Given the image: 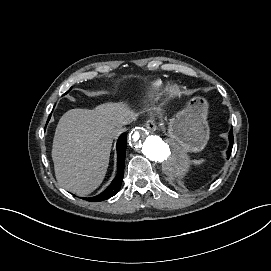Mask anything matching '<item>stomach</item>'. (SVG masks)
<instances>
[{
    "instance_id": "stomach-1",
    "label": "stomach",
    "mask_w": 271,
    "mask_h": 271,
    "mask_svg": "<svg viewBox=\"0 0 271 271\" xmlns=\"http://www.w3.org/2000/svg\"><path fill=\"white\" fill-rule=\"evenodd\" d=\"M207 114L206 98L195 97L187 102L184 110L169 119L167 134L177 148L190 152L204 149L210 134Z\"/></svg>"
}]
</instances>
